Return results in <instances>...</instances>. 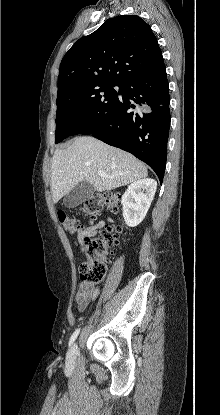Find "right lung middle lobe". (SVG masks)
I'll list each match as a JSON object with an SVG mask.
<instances>
[{"mask_svg": "<svg viewBox=\"0 0 220 415\" xmlns=\"http://www.w3.org/2000/svg\"><path fill=\"white\" fill-rule=\"evenodd\" d=\"M121 83L107 81L78 84L57 95L55 143L81 132L90 134L109 117L119 93L114 86Z\"/></svg>", "mask_w": 220, "mask_h": 415, "instance_id": "right-lung-middle-lobe-1", "label": "right lung middle lobe"}]
</instances>
